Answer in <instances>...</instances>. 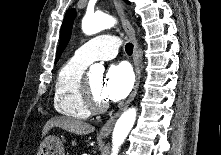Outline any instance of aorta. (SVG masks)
<instances>
[{
    "label": "aorta",
    "instance_id": "1",
    "mask_svg": "<svg viewBox=\"0 0 221 155\" xmlns=\"http://www.w3.org/2000/svg\"><path fill=\"white\" fill-rule=\"evenodd\" d=\"M115 24L114 18L106 14H94L85 16L82 20V30L86 35H93L102 30L109 29ZM97 66L90 68L92 71ZM136 108L131 107L124 111L117 120L113 134H112V153L111 155H118L119 148L126 139L128 133L132 129L136 120Z\"/></svg>",
    "mask_w": 221,
    "mask_h": 155
}]
</instances>
